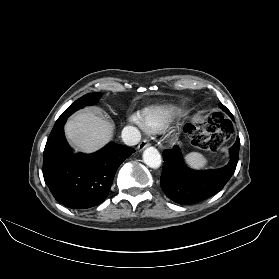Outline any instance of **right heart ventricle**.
<instances>
[{"instance_id":"right-heart-ventricle-1","label":"right heart ventricle","mask_w":279,"mask_h":279,"mask_svg":"<svg viewBox=\"0 0 279 279\" xmlns=\"http://www.w3.org/2000/svg\"><path fill=\"white\" fill-rule=\"evenodd\" d=\"M180 111V107L175 105H156L149 107L141 112L142 125L150 132H162Z\"/></svg>"}]
</instances>
